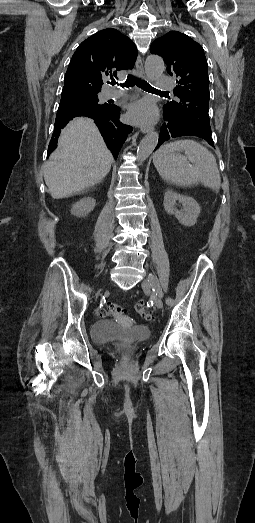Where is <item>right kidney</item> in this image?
Wrapping results in <instances>:
<instances>
[{
  "label": "right kidney",
  "mask_w": 255,
  "mask_h": 523,
  "mask_svg": "<svg viewBox=\"0 0 255 523\" xmlns=\"http://www.w3.org/2000/svg\"><path fill=\"white\" fill-rule=\"evenodd\" d=\"M96 206V200L94 198H82L80 202L73 204L71 208V214L73 216H87Z\"/></svg>",
  "instance_id": "ca27d5eb"
}]
</instances>
